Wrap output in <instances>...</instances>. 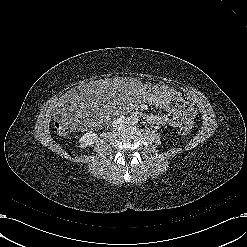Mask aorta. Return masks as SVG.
Here are the masks:
<instances>
[{"label": "aorta", "mask_w": 247, "mask_h": 247, "mask_svg": "<svg viewBox=\"0 0 247 247\" xmlns=\"http://www.w3.org/2000/svg\"><path fill=\"white\" fill-rule=\"evenodd\" d=\"M128 121H129L130 123H132V124H136V123H138V118H137L136 116H130V117L128 118Z\"/></svg>", "instance_id": "1"}]
</instances>
